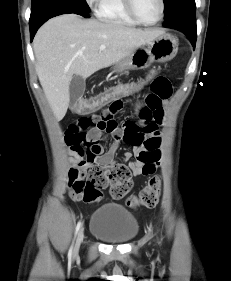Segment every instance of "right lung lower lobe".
<instances>
[{
	"label": "right lung lower lobe",
	"instance_id": "obj_1",
	"mask_svg": "<svg viewBox=\"0 0 231 281\" xmlns=\"http://www.w3.org/2000/svg\"><path fill=\"white\" fill-rule=\"evenodd\" d=\"M75 13L83 17H90L81 5L72 0H40L32 7L30 16V38L33 40L38 28L48 19L65 14Z\"/></svg>",
	"mask_w": 231,
	"mask_h": 281
}]
</instances>
